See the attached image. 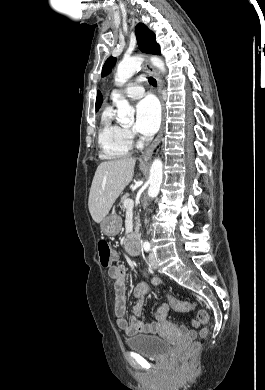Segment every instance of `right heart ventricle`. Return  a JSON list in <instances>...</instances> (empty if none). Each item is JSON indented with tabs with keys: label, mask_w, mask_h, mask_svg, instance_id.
I'll return each mask as SVG.
<instances>
[{
	"label": "right heart ventricle",
	"mask_w": 265,
	"mask_h": 390,
	"mask_svg": "<svg viewBox=\"0 0 265 390\" xmlns=\"http://www.w3.org/2000/svg\"><path fill=\"white\" fill-rule=\"evenodd\" d=\"M98 143L100 157L106 160L125 157L131 149L127 131L114 120V111L110 106L106 107L101 114Z\"/></svg>",
	"instance_id": "obj_1"
}]
</instances>
